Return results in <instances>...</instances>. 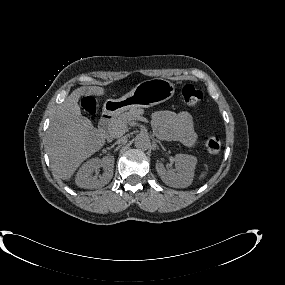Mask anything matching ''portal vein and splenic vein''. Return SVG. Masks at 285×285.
<instances>
[{
  "label": "portal vein and splenic vein",
  "instance_id": "18ae733b",
  "mask_svg": "<svg viewBox=\"0 0 285 285\" xmlns=\"http://www.w3.org/2000/svg\"><path fill=\"white\" fill-rule=\"evenodd\" d=\"M137 120L146 121V119H145V118H143V117H139Z\"/></svg>",
  "mask_w": 285,
  "mask_h": 285
}]
</instances>
